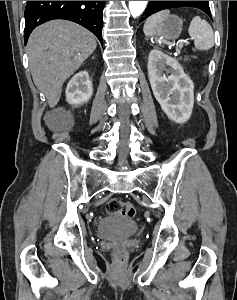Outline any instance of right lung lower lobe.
Segmentation results:
<instances>
[{
  "label": "right lung lower lobe",
  "instance_id": "1",
  "mask_svg": "<svg viewBox=\"0 0 237 300\" xmlns=\"http://www.w3.org/2000/svg\"><path fill=\"white\" fill-rule=\"evenodd\" d=\"M104 6L105 1H27L25 44L36 26L53 19L76 22L94 33L103 44L102 12Z\"/></svg>",
  "mask_w": 237,
  "mask_h": 300
}]
</instances>
